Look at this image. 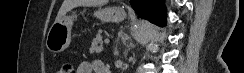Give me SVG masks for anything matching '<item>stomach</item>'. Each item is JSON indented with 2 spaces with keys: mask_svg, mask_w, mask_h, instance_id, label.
Here are the masks:
<instances>
[{
  "mask_svg": "<svg viewBox=\"0 0 244 73\" xmlns=\"http://www.w3.org/2000/svg\"><path fill=\"white\" fill-rule=\"evenodd\" d=\"M94 15L104 22L119 23L126 17L124 10L118 7H108L99 9ZM77 17L73 12L71 15L63 16L59 21H55L46 38V47L52 53L64 51L71 42V29L74 19Z\"/></svg>",
  "mask_w": 244,
  "mask_h": 73,
  "instance_id": "obj_1",
  "label": "stomach"
}]
</instances>
